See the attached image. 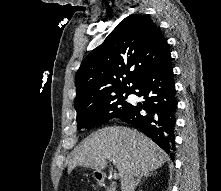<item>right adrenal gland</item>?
Returning a JSON list of instances; mask_svg holds the SVG:
<instances>
[{"label": "right adrenal gland", "instance_id": "obj_1", "mask_svg": "<svg viewBox=\"0 0 221 191\" xmlns=\"http://www.w3.org/2000/svg\"><path fill=\"white\" fill-rule=\"evenodd\" d=\"M153 175H155L154 172H147V173L141 174V175L137 178L136 182L134 183V186H133V188H132V191H134L135 188L140 184L142 178H147V177L153 176Z\"/></svg>", "mask_w": 221, "mask_h": 191}]
</instances>
